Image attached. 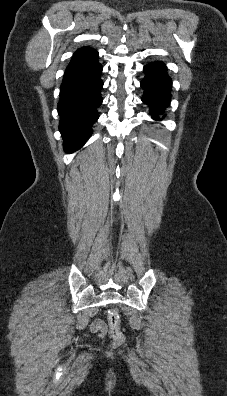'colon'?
Here are the masks:
<instances>
[{
	"instance_id": "obj_1",
	"label": "colon",
	"mask_w": 227,
	"mask_h": 396,
	"mask_svg": "<svg viewBox=\"0 0 227 396\" xmlns=\"http://www.w3.org/2000/svg\"><path fill=\"white\" fill-rule=\"evenodd\" d=\"M109 334L114 345H121L125 341V335L120 327V313L117 309H111L108 313Z\"/></svg>"
}]
</instances>
